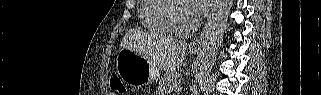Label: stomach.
I'll use <instances>...</instances> for the list:
<instances>
[{"label": "stomach", "mask_w": 321, "mask_h": 95, "mask_svg": "<svg viewBox=\"0 0 321 95\" xmlns=\"http://www.w3.org/2000/svg\"><path fill=\"white\" fill-rule=\"evenodd\" d=\"M198 49H190L196 53ZM117 73L123 81L132 85H146L160 76L159 68L144 56L127 48H122L116 60Z\"/></svg>", "instance_id": "0dacf381"}]
</instances>
